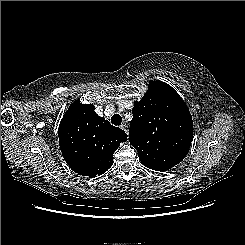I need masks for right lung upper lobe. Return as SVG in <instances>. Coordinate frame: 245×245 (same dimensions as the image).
<instances>
[{"mask_svg":"<svg viewBox=\"0 0 245 245\" xmlns=\"http://www.w3.org/2000/svg\"><path fill=\"white\" fill-rule=\"evenodd\" d=\"M59 145L70 168L82 175L95 177L113 164V154L127 134L94 112L92 104L75 101L59 125Z\"/></svg>","mask_w":245,"mask_h":245,"instance_id":"right-lung-upper-lobe-1","label":"right lung upper lobe"}]
</instances>
